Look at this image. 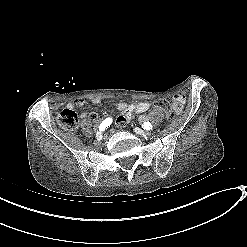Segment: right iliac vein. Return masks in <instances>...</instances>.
I'll use <instances>...</instances> for the list:
<instances>
[{
	"label": "right iliac vein",
	"mask_w": 247,
	"mask_h": 247,
	"mask_svg": "<svg viewBox=\"0 0 247 247\" xmlns=\"http://www.w3.org/2000/svg\"><path fill=\"white\" fill-rule=\"evenodd\" d=\"M96 138H97L98 140H101V139L103 138V133H102L101 131L97 132V133H96Z\"/></svg>",
	"instance_id": "obj_1"
}]
</instances>
